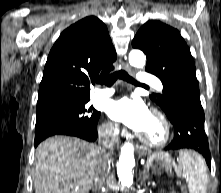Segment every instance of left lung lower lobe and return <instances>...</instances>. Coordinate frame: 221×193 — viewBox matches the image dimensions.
I'll return each instance as SVG.
<instances>
[{"instance_id":"left-lung-lower-lobe-1","label":"left lung lower lobe","mask_w":221,"mask_h":193,"mask_svg":"<svg viewBox=\"0 0 221 193\" xmlns=\"http://www.w3.org/2000/svg\"><path fill=\"white\" fill-rule=\"evenodd\" d=\"M172 94L173 118L170 121L175 128V137L165 149H193L206 158V163L211 168V154L204 130L205 116L199 89L180 88Z\"/></svg>"}]
</instances>
